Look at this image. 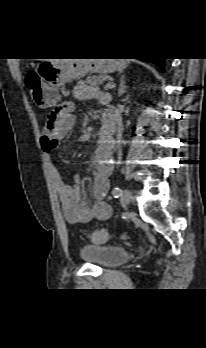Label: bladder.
Here are the masks:
<instances>
[{"mask_svg": "<svg viewBox=\"0 0 206 348\" xmlns=\"http://www.w3.org/2000/svg\"><path fill=\"white\" fill-rule=\"evenodd\" d=\"M80 257L94 265L102 267H115L131 259V252L120 245H92L81 247Z\"/></svg>", "mask_w": 206, "mask_h": 348, "instance_id": "bladder-1", "label": "bladder"}]
</instances>
